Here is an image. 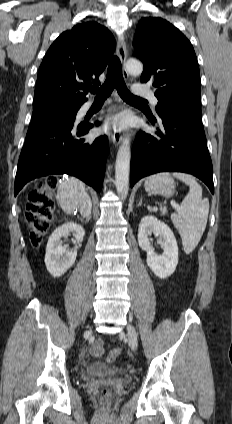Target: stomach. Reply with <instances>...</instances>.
I'll return each instance as SVG.
<instances>
[{
    "label": "stomach",
    "mask_w": 232,
    "mask_h": 424,
    "mask_svg": "<svg viewBox=\"0 0 232 424\" xmlns=\"http://www.w3.org/2000/svg\"><path fill=\"white\" fill-rule=\"evenodd\" d=\"M175 182L169 173H159L149 177L144 184L145 190L151 194L170 197L175 191Z\"/></svg>",
    "instance_id": "stomach-1"
}]
</instances>
